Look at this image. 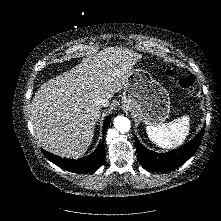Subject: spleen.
<instances>
[{
    "label": "spleen",
    "instance_id": "spleen-1",
    "mask_svg": "<svg viewBox=\"0 0 221 221\" xmlns=\"http://www.w3.org/2000/svg\"><path fill=\"white\" fill-rule=\"evenodd\" d=\"M190 117L183 116L168 124L146 127L149 139L158 147L171 149L181 145L189 134Z\"/></svg>",
    "mask_w": 221,
    "mask_h": 221
}]
</instances>
